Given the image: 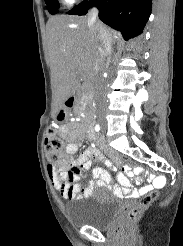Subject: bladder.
Wrapping results in <instances>:
<instances>
[{
    "instance_id": "obj_1",
    "label": "bladder",
    "mask_w": 183,
    "mask_h": 246,
    "mask_svg": "<svg viewBox=\"0 0 183 246\" xmlns=\"http://www.w3.org/2000/svg\"><path fill=\"white\" fill-rule=\"evenodd\" d=\"M119 200L105 193L94 195L81 209L69 213L70 222L76 227L105 228L117 215Z\"/></svg>"
}]
</instances>
